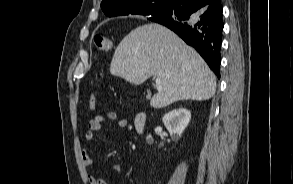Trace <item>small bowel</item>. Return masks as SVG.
<instances>
[{"label": "small bowel", "mask_w": 293, "mask_h": 184, "mask_svg": "<svg viewBox=\"0 0 293 184\" xmlns=\"http://www.w3.org/2000/svg\"><path fill=\"white\" fill-rule=\"evenodd\" d=\"M107 123L114 124L115 126L121 128L127 126V120L123 117H119L116 112L110 111L106 115H97L89 121L88 130L84 134V141L86 143H90L93 141L95 133L102 132L104 141L107 143L110 142V138L104 129V126ZM82 159L86 167L91 166V158L88 148H83ZM112 169L117 173H120L123 170L122 166L119 164H114ZM87 181L89 184H107L105 181L97 179L91 174L87 175Z\"/></svg>", "instance_id": "1"}]
</instances>
